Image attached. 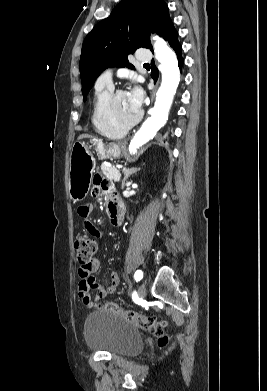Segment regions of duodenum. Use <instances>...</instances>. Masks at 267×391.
Returning <instances> with one entry per match:
<instances>
[{
	"label": "duodenum",
	"mask_w": 267,
	"mask_h": 391,
	"mask_svg": "<svg viewBox=\"0 0 267 391\" xmlns=\"http://www.w3.org/2000/svg\"><path fill=\"white\" fill-rule=\"evenodd\" d=\"M121 222H122V219H121V218H116V219L114 220V223H115L116 225L121 224Z\"/></svg>",
	"instance_id": "duodenum-1"
}]
</instances>
